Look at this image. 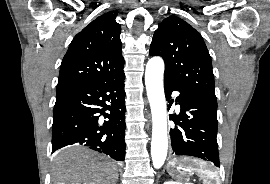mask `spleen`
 <instances>
[{
    "label": "spleen",
    "instance_id": "1",
    "mask_svg": "<svg viewBox=\"0 0 270 184\" xmlns=\"http://www.w3.org/2000/svg\"><path fill=\"white\" fill-rule=\"evenodd\" d=\"M185 160L186 159H182L184 166ZM187 168L191 171L196 172L203 180V184H220L217 172L209 168L204 162H197L194 165L187 166ZM183 175H186V173H183ZM185 184H192V183H185Z\"/></svg>",
    "mask_w": 270,
    "mask_h": 184
}]
</instances>
